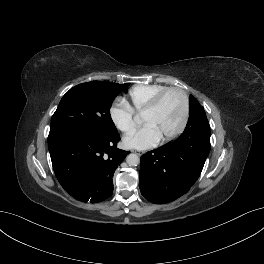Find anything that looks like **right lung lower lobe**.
<instances>
[{
	"mask_svg": "<svg viewBox=\"0 0 264 264\" xmlns=\"http://www.w3.org/2000/svg\"><path fill=\"white\" fill-rule=\"evenodd\" d=\"M110 136L65 135L49 142L51 161L62 187L75 199L97 203L113 193V174L129 154Z\"/></svg>",
	"mask_w": 264,
	"mask_h": 264,
	"instance_id": "98d812e1",
	"label": "right lung lower lobe"
}]
</instances>
